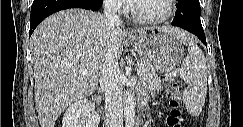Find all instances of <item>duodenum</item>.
Instances as JSON below:
<instances>
[{
	"label": "duodenum",
	"instance_id": "410a0bca",
	"mask_svg": "<svg viewBox=\"0 0 243 127\" xmlns=\"http://www.w3.org/2000/svg\"><path fill=\"white\" fill-rule=\"evenodd\" d=\"M147 102V96L146 95H143L141 94L140 98H139V103H140V106L141 107H144L145 104Z\"/></svg>",
	"mask_w": 243,
	"mask_h": 127
}]
</instances>
